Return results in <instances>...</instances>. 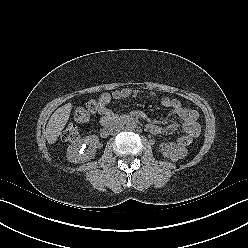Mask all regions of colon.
Segmentation results:
<instances>
[{
    "label": "colon",
    "mask_w": 248,
    "mask_h": 248,
    "mask_svg": "<svg viewBox=\"0 0 248 248\" xmlns=\"http://www.w3.org/2000/svg\"><path fill=\"white\" fill-rule=\"evenodd\" d=\"M100 103L97 100H90L84 106H78L74 111V118L77 122H86L99 109ZM79 137V129L76 124L70 123L62 132L64 141L72 142ZM193 142L189 136L183 135L178 138L177 143L181 146H188Z\"/></svg>",
    "instance_id": "5ec220e1"
}]
</instances>
